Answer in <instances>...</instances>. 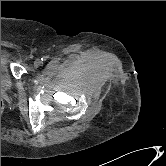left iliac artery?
<instances>
[{
	"label": "left iliac artery",
	"instance_id": "44dca946",
	"mask_svg": "<svg viewBox=\"0 0 166 166\" xmlns=\"http://www.w3.org/2000/svg\"><path fill=\"white\" fill-rule=\"evenodd\" d=\"M42 61H46V57L41 58Z\"/></svg>",
	"mask_w": 166,
	"mask_h": 166
}]
</instances>
